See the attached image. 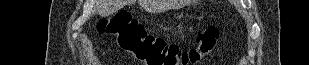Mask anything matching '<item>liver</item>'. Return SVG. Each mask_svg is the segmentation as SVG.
Returning a JSON list of instances; mask_svg holds the SVG:
<instances>
[{"instance_id":"obj_1","label":"liver","mask_w":309,"mask_h":65,"mask_svg":"<svg viewBox=\"0 0 309 65\" xmlns=\"http://www.w3.org/2000/svg\"><path fill=\"white\" fill-rule=\"evenodd\" d=\"M97 13L102 16H109L120 10L125 4V0H96ZM140 5L149 11L157 10L160 5L155 0H140Z\"/></svg>"}]
</instances>
